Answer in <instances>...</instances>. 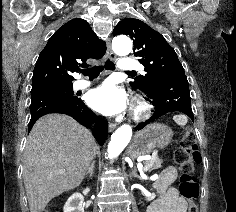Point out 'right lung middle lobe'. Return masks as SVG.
<instances>
[{"label": "right lung middle lobe", "mask_w": 236, "mask_h": 212, "mask_svg": "<svg viewBox=\"0 0 236 212\" xmlns=\"http://www.w3.org/2000/svg\"><path fill=\"white\" fill-rule=\"evenodd\" d=\"M46 90L56 93L57 95L64 97L70 101H78L79 99L74 95L72 85L67 86H55L46 88Z\"/></svg>", "instance_id": "obj_1"}]
</instances>
